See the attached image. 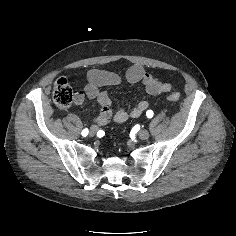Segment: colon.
Here are the masks:
<instances>
[{
	"label": "colon",
	"mask_w": 236,
	"mask_h": 236,
	"mask_svg": "<svg viewBox=\"0 0 236 236\" xmlns=\"http://www.w3.org/2000/svg\"><path fill=\"white\" fill-rule=\"evenodd\" d=\"M180 98L181 94L177 91L167 96V100L172 103L178 102ZM53 100L54 103L62 109L70 107L73 103L74 94L66 79L60 78L54 83Z\"/></svg>",
	"instance_id": "1"
}]
</instances>
